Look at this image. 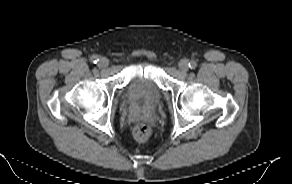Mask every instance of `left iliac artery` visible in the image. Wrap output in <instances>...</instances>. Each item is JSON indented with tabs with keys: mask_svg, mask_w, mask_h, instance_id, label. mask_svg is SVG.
I'll list each match as a JSON object with an SVG mask.
<instances>
[{
	"mask_svg": "<svg viewBox=\"0 0 292 184\" xmlns=\"http://www.w3.org/2000/svg\"><path fill=\"white\" fill-rule=\"evenodd\" d=\"M196 66H197V63H196L195 61H191V62L189 63V67H190L191 69L196 68Z\"/></svg>",
	"mask_w": 292,
	"mask_h": 184,
	"instance_id": "left-iliac-artery-1",
	"label": "left iliac artery"
}]
</instances>
